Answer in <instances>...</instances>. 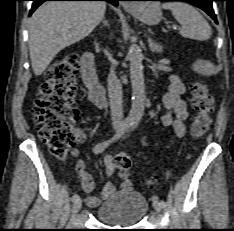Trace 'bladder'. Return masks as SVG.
Masks as SVG:
<instances>
[{"mask_svg": "<svg viewBox=\"0 0 234 231\" xmlns=\"http://www.w3.org/2000/svg\"><path fill=\"white\" fill-rule=\"evenodd\" d=\"M149 210V204L144 195L129 191L115 193L98 209L97 218L100 222L130 226L140 222Z\"/></svg>", "mask_w": 234, "mask_h": 231, "instance_id": "bladder-1", "label": "bladder"}]
</instances>
